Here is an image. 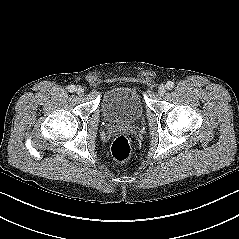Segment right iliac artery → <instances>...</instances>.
<instances>
[{"instance_id": "right-iliac-artery-1", "label": "right iliac artery", "mask_w": 239, "mask_h": 239, "mask_svg": "<svg viewBox=\"0 0 239 239\" xmlns=\"http://www.w3.org/2000/svg\"><path fill=\"white\" fill-rule=\"evenodd\" d=\"M67 89H68L69 92H74L76 88H75L74 85H69V86L67 87Z\"/></svg>"}]
</instances>
